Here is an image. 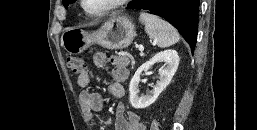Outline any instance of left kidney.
Returning a JSON list of instances; mask_svg holds the SVG:
<instances>
[{"mask_svg": "<svg viewBox=\"0 0 257 130\" xmlns=\"http://www.w3.org/2000/svg\"><path fill=\"white\" fill-rule=\"evenodd\" d=\"M165 62V66L159 69V80L153 90L145 96H138L140 75L158 62ZM179 56L176 50H165L156 54L152 59L142 64L130 81V103L136 109H143L156 101L160 93L170 84L179 65Z\"/></svg>", "mask_w": 257, "mask_h": 130, "instance_id": "5707ae66", "label": "left kidney"}]
</instances>
